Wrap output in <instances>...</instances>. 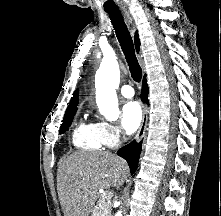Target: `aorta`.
<instances>
[{
    "mask_svg": "<svg viewBox=\"0 0 221 216\" xmlns=\"http://www.w3.org/2000/svg\"><path fill=\"white\" fill-rule=\"evenodd\" d=\"M120 83L119 65L112 50L104 53L95 76L96 103L101 115L109 121L118 119L120 112L116 89ZM115 216H122L118 211Z\"/></svg>",
    "mask_w": 221,
    "mask_h": 216,
    "instance_id": "obj_1",
    "label": "aorta"
}]
</instances>
